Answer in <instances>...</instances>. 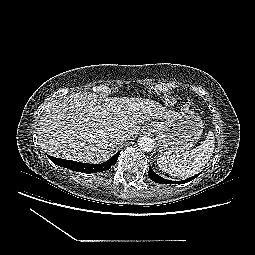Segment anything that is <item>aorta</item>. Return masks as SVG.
Listing matches in <instances>:
<instances>
[{
    "label": "aorta",
    "mask_w": 255,
    "mask_h": 255,
    "mask_svg": "<svg viewBox=\"0 0 255 255\" xmlns=\"http://www.w3.org/2000/svg\"><path fill=\"white\" fill-rule=\"evenodd\" d=\"M138 147L145 152L151 151L154 147V141L147 136L140 137L138 139Z\"/></svg>",
    "instance_id": "1"
}]
</instances>
